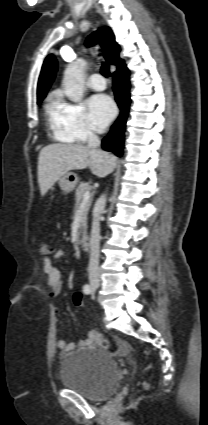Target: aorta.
<instances>
[{"label": "aorta", "mask_w": 208, "mask_h": 425, "mask_svg": "<svg viewBox=\"0 0 208 425\" xmlns=\"http://www.w3.org/2000/svg\"><path fill=\"white\" fill-rule=\"evenodd\" d=\"M85 67V60L79 58L69 64L64 72L63 86L65 95L73 102H80L83 97Z\"/></svg>", "instance_id": "aorta-1"}]
</instances>
